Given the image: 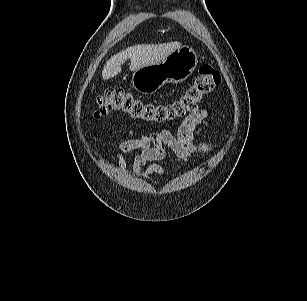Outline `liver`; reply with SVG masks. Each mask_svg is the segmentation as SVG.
<instances>
[{
  "label": "liver",
  "instance_id": "1",
  "mask_svg": "<svg viewBox=\"0 0 307 301\" xmlns=\"http://www.w3.org/2000/svg\"><path fill=\"white\" fill-rule=\"evenodd\" d=\"M179 47V42H170L158 45L143 44L128 47L127 49L122 50L111 57L106 62L102 70V77L104 80H108L118 75L122 71L121 66L127 59L131 60L129 66L130 71H136L141 67L161 62Z\"/></svg>",
  "mask_w": 307,
  "mask_h": 301
}]
</instances>
